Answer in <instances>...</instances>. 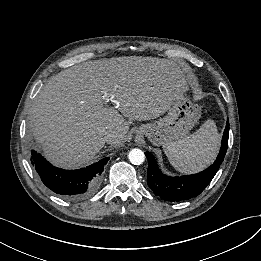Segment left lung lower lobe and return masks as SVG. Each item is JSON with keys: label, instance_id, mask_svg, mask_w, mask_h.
<instances>
[{"label": "left lung lower lobe", "instance_id": "obj_1", "mask_svg": "<svg viewBox=\"0 0 261 261\" xmlns=\"http://www.w3.org/2000/svg\"><path fill=\"white\" fill-rule=\"evenodd\" d=\"M228 135L229 121L227 120L216 161L197 174L180 177L167 176L161 172L155 157L150 152H145L148 160L147 184L154 194L164 201L178 202L198 196L213 179L224 160L228 147Z\"/></svg>", "mask_w": 261, "mask_h": 261}]
</instances>
